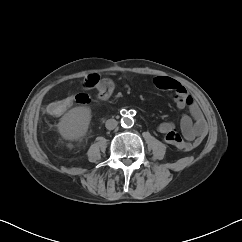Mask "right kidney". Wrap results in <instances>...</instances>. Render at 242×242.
Returning a JSON list of instances; mask_svg holds the SVG:
<instances>
[{
    "label": "right kidney",
    "instance_id": "obj_1",
    "mask_svg": "<svg viewBox=\"0 0 242 242\" xmlns=\"http://www.w3.org/2000/svg\"><path fill=\"white\" fill-rule=\"evenodd\" d=\"M90 120L91 109L89 107H74L60 119L58 132L66 140H81L86 135Z\"/></svg>",
    "mask_w": 242,
    "mask_h": 242
}]
</instances>
